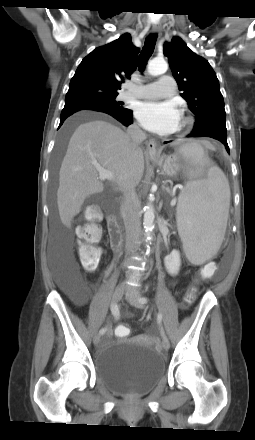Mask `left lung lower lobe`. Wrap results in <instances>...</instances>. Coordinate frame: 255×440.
Segmentation results:
<instances>
[{"label": "left lung lower lobe", "instance_id": "obj_1", "mask_svg": "<svg viewBox=\"0 0 255 440\" xmlns=\"http://www.w3.org/2000/svg\"><path fill=\"white\" fill-rule=\"evenodd\" d=\"M187 137H210V138H214L218 141H220L221 143L224 144L226 150L228 153L229 152V146L227 143V131H223L220 129H215V128H210V129H204L201 131H192L189 135H187ZM167 143V142H165Z\"/></svg>", "mask_w": 255, "mask_h": 440}]
</instances>
